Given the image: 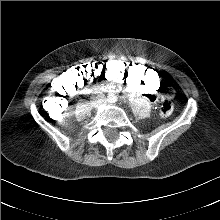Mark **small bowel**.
<instances>
[{
  "instance_id": "c3829d8e",
  "label": "small bowel",
  "mask_w": 220,
  "mask_h": 220,
  "mask_svg": "<svg viewBox=\"0 0 220 220\" xmlns=\"http://www.w3.org/2000/svg\"><path fill=\"white\" fill-rule=\"evenodd\" d=\"M111 61V60H109ZM108 62V61H107ZM140 65H143V64H140ZM110 84H108L106 86V89L109 90V91H118L121 87L122 84H125L123 83L122 81H109ZM126 85V90L128 93L132 94V95H137V94H142L143 96H145L146 98H148V95H151V94H155L159 89L160 87L155 90V91H148V90H145V91H140V90H137L135 87L133 86H130L128 84H125ZM161 86V85H160Z\"/></svg>"
}]
</instances>
